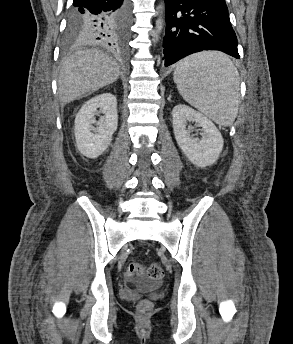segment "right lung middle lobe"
I'll return each mask as SVG.
<instances>
[{"instance_id": "1", "label": "right lung middle lobe", "mask_w": 293, "mask_h": 344, "mask_svg": "<svg viewBox=\"0 0 293 344\" xmlns=\"http://www.w3.org/2000/svg\"><path fill=\"white\" fill-rule=\"evenodd\" d=\"M88 18L85 14L71 11L67 31L64 36V43L66 46L80 44L85 42L82 34V28L87 23Z\"/></svg>"}]
</instances>
